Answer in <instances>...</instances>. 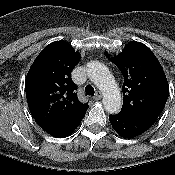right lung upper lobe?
<instances>
[{"label":"right lung upper lobe","instance_id":"cb5924a9","mask_svg":"<svg viewBox=\"0 0 175 175\" xmlns=\"http://www.w3.org/2000/svg\"><path fill=\"white\" fill-rule=\"evenodd\" d=\"M80 61L65 41L47 45L34 60L25 80L30 112L44 130L72 125L85 117L88 104L77 97V86L71 72Z\"/></svg>","mask_w":175,"mask_h":175}]
</instances>
